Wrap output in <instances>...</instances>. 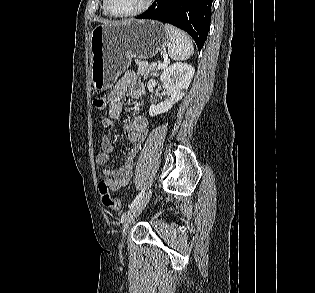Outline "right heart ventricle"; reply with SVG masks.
Segmentation results:
<instances>
[{"label":"right heart ventricle","mask_w":315,"mask_h":293,"mask_svg":"<svg viewBox=\"0 0 315 293\" xmlns=\"http://www.w3.org/2000/svg\"><path fill=\"white\" fill-rule=\"evenodd\" d=\"M102 12H103V14L106 15V16H111V15L108 13V11H107V9H106V7H105V1H104V0H102Z\"/></svg>","instance_id":"right-heart-ventricle-1"}]
</instances>
